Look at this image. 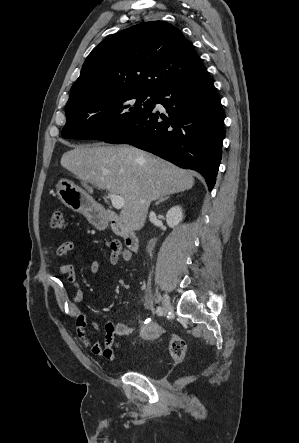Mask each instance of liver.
<instances>
[{"mask_svg": "<svg viewBox=\"0 0 299 443\" xmlns=\"http://www.w3.org/2000/svg\"><path fill=\"white\" fill-rule=\"evenodd\" d=\"M61 165L83 182L121 196L125 205L119 220L140 230L154 200L189 190L192 173L130 146H76L65 152Z\"/></svg>", "mask_w": 299, "mask_h": 443, "instance_id": "6515ba94", "label": "liver"}]
</instances>
